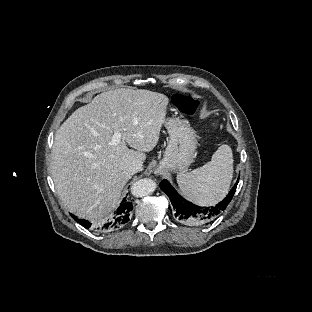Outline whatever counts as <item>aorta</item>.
<instances>
[{
    "label": "aorta",
    "mask_w": 312,
    "mask_h": 312,
    "mask_svg": "<svg viewBox=\"0 0 312 312\" xmlns=\"http://www.w3.org/2000/svg\"><path fill=\"white\" fill-rule=\"evenodd\" d=\"M155 190V183L150 179H140L134 182L130 187V193L133 197L143 198Z\"/></svg>",
    "instance_id": "1"
}]
</instances>
